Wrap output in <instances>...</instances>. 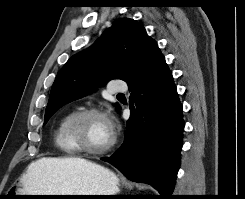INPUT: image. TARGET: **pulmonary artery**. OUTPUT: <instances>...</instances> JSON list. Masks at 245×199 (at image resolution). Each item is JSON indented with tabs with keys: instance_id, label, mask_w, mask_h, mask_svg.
I'll return each mask as SVG.
<instances>
[{
	"instance_id": "obj_1",
	"label": "pulmonary artery",
	"mask_w": 245,
	"mask_h": 199,
	"mask_svg": "<svg viewBox=\"0 0 245 199\" xmlns=\"http://www.w3.org/2000/svg\"><path fill=\"white\" fill-rule=\"evenodd\" d=\"M127 89V84L122 81H114L109 85V92L112 94L122 93L127 91Z\"/></svg>"
}]
</instances>
